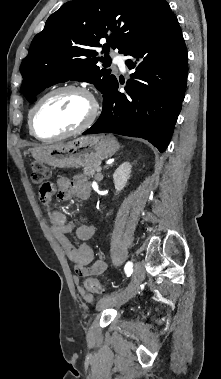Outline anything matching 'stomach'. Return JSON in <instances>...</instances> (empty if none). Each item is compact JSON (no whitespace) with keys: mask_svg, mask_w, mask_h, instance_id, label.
<instances>
[{"mask_svg":"<svg viewBox=\"0 0 221 379\" xmlns=\"http://www.w3.org/2000/svg\"><path fill=\"white\" fill-rule=\"evenodd\" d=\"M119 148L112 135L83 136L72 141L53 143L32 150V156L55 168L83 167L100 164Z\"/></svg>","mask_w":221,"mask_h":379,"instance_id":"0dacf381","label":"stomach"}]
</instances>
